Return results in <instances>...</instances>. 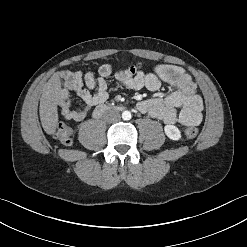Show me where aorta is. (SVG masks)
I'll return each instance as SVG.
<instances>
[{
  "mask_svg": "<svg viewBox=\"0 0 247 247\" xmlns=\"http://www.w3.org/2000/svg\"><path fill=\"white\" fill-rule=\"evenodd\" d=\"M131 112L130 111H124L123 113H122V119L123 120H130L131 119Z\"/></svg>",
  "mask_w": 247,
  "mask_h": 247,
  "instance_id": "obj_1",
  "label": "aorta"
}]
</instances>
